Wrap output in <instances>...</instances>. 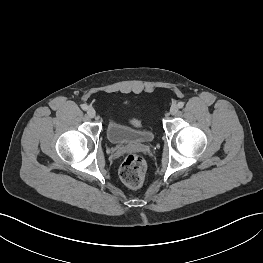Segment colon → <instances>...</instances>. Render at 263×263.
I'll use <instances>...</instances> for the list:
<instances>
[{
  "instance_id": "colon-1",
  "label": "colon",
  "mask_w": 263,
  "mask_h": 263,
  "mask_svg": "<svg viewBox=\"0 0 263 263\" xmlns=\"http://www.w3.org/2000/svg\"><path fill=\"white\" fill-rule=\"evenodd\" d=\"M146 173L145 158L136 153L128 154L119 170L122 182L130 188H138L142 185Z\"/></svg>"
}]
</instances>
